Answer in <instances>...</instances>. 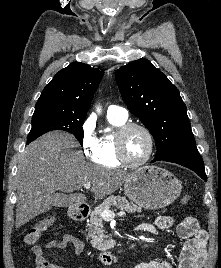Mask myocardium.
<instances>
[{
    "mask_svg": "<svg viewBox=\"0 0 221 268\" xmlns=\"http://www.w3.org/2000/svg\"><path fill=\"white\" fill-rule=\"evenodd\" d=\"M131 129L142 130L146 134L148 138V142H149L148 151L145 157L138 162L130 161L125 154L124 139H125L126 134ZM115 149H116L117 158L122 165L130 167V168H137L146 164L151 159L154 149H155V139L151 130L145 125L141 123L128 122L120 126L115 132Z\"/></svg>",
    "mask_w": 221,
    "mask_h": 268,
    "instance_id": "myocardium-1",
    "label": "myocardium"
}]
</instances>
